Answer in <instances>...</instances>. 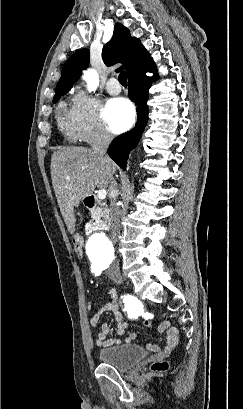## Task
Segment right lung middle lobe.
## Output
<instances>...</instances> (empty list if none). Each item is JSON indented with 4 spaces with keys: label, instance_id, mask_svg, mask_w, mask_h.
<instances>
[{
    "label": "right lung middle lobe",
    "instance_id": "obj_1",
    "mask_svg": "<svg viewBox=\"0 0 243 409\" xmlns=\"http://www.w3.org/2000/svg\"><path fill=\"white\" fill-rule=\"evenodd\" d=\"M64 94H65V93L55 95V96H54V99H53V102L56 103V102L60 99V96H62V95H64Z\"/></svg>",
    "mask_w": 243,
    "mask_h": 409
}]
</instances>
